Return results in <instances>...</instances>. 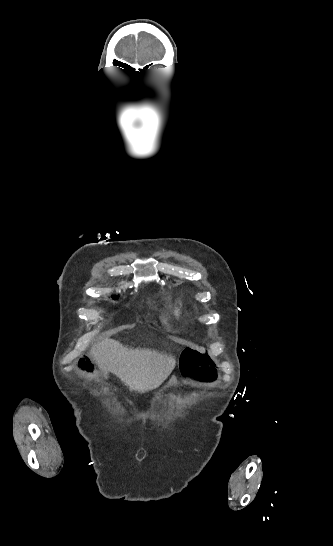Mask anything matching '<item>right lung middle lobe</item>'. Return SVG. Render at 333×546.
I'll use <instances>...</instances> for the list:
<instances>
[{
    "label": "right lung middle lobe",
    "instance_id": "obj_1",
    "mask_svg": "<svg viewBox=\"0 0 333 546\" xmlns=\"http://www.w3.org/2000/svg\"><path fill=\"white\" fill-rule=\"evenodd\" d=\"M114 299H117L118 297L117 296H113Z\"/></svg>",
    "mask_w": 333,
    "mask_h": 546
}]
</instances>
